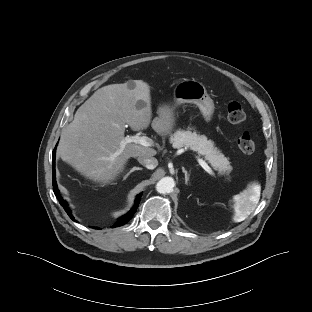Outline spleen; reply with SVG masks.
<instances>
[{
	"label": "spleen",
	"mask_w": 312,
	"mask_h": 312,
	"mask_svg": "<svg viewBox=\"0 0 312 312\" xmlns=\"http://www.w3.org/2000/svg\"><path fill=\"white\" fill-rule=\"evenodd\" d=\"M259 199L260 186L254 185L236 202L233 220L235 222L245 220L254 211Z\"/></svg>",
	"instance_id": "obj_1"
}]
</instances>
